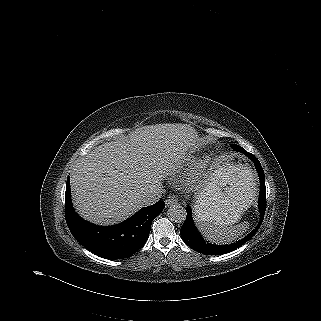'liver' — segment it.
I'll return each instance as SVG.
<instances>
[{"instance_id": "obj_1", "label": "liver", "mask_w": 321, "mask_h": 321, "mask_svg": "<svg viewBox=\"0 0 321 321\" xmlns=\"http://www.w3.org/2000/svg\"><path fill=\"white\" fill-rule=\"evenodd\" d=\"M200 143L196 130L181 123L145 126L105 142L75 164L73 205L93 223L121 222L142 208V196L161 188L162 179L177 168L169 151L193 150Z\"/></svg>"}]
</instances>
